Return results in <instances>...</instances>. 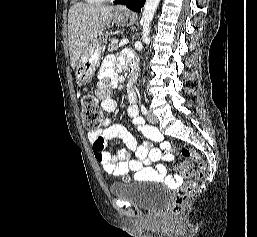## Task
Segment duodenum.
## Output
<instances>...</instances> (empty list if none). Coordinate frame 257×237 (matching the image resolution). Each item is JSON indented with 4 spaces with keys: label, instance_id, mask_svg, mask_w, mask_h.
Instances as JSON below:
<instances>
[{
    "label": "duodenum",
    "instance_id": "duodenum-1",
    "mask_svg": "<svg viewBox=\"0 0 257 237\" xmlns=\"http://www.w3.org/2000/svg\"><path fill=\"white\" fill-rule=\"evenodd\" d=\"M135 72H136V66L133 65L130 67V74L132 75V80L127 85V93L131 102H134L136 99L135 88H134Z\"/></svg>",
    "mask_w": 257,
    "mask_h": 237
}]
</instances>
